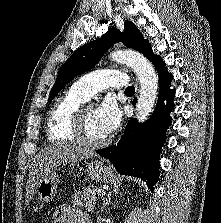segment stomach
<instances>
[{
    "label": "stomach",
    "mask_w": 221,
    "mask_h": 223,
    "mask_svg": "<svg viewBox=\"0 0 221 223\" xmlns=\"http://www.w3.org/2000/svg\"><path fill=\"white\" fill-rule=\"evenodd\" d=\"M86 172L89 177L95 181L100 182H113L115 175L110 166L105 165L100 161H92L87 163ZM57 175L54 171L45 174L36 187L39 200L42 203L50 202L57 193Z\"/></svg>",
    "instance_id": "obj_1"
}]
</instances>
